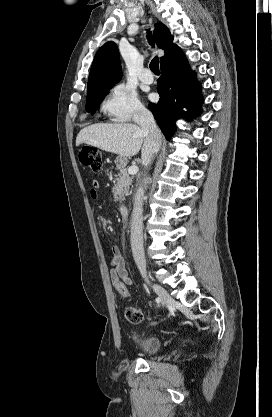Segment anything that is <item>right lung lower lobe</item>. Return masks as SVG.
I'll return each instance as SVG.
<instances>
[{
  "mask_svg": "<svg viewBox=\"0 0 272 417\" xmlns=\"http://www.w3.org/2000/svg\"><path fill=\"white\" fill-rule=\"evenodd\" d=\"M160 67L157 86L160 99L157 104H149V108L169 140L175 131V120L192 119L200 114L203 99L200 84L180 48L166 57Z\"/></svg>",
  "mask_w": 272,
  "mask_h": 417,
  "instance_id": "98d812e1",
  "label": "right lung lower lobe"
}]
</instances>
